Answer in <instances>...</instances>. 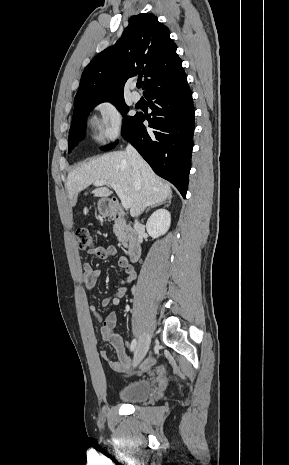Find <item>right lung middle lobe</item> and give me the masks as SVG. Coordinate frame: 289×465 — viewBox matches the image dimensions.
<instances>
[{
  "label": "right lung middle lobe",
  "mask_w": 289,
  "mask_h": 465,
  "mask_svg": "<svg viewBox=\"0 0 289 465\" xmlns=\"http://www.w3.org/2000/svg\"><path fill=\"white\" fill-rule=\"evenodd\" d=\"M101 102H111L113 103L121 112L123 115H126L129 108L125 104L124 99H101V100H89V101H84L79 104L74 105V113H73V120H72V125L69 131V137H68V145L70 148L73 146L77 145L79 141H81L84 136H85V119L89 112L99 103ZM136 118L135 116H126L124 121H123V135L127 133L129 130L130 126L132 125L134 119ZM117 142L107 146L104 148V150H109L112 149L116 146Z\"/></svg>",
  "instance_id": "dd1d6c3e"
}]
</instances>
